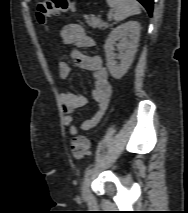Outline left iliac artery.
Returning a JSON list of instances; mask_svg holds the SVG:
<instances>
[{"mask_svg":"<svg viewBox=\"0 0 188 213\" xmlns=\"http://www.w3.org/2000/svg\"><path fill=\"white\" fill-rule=\"evenodd\" d=\"M92 172H93V168H88L87 170H86V172H85V179L88 177V176H90L91 174H92Z\"/></svg>","mask_w":188,"mask_h":213,"instance_id":"1","label":"left iliac artery"}]
</instances>
